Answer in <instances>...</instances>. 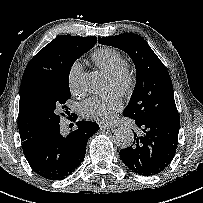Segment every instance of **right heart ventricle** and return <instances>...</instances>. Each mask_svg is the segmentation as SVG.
<instances>
[{
	"mask_svg": "<svg viewBox=\"0 0 203 203\" xmlns=\"http://www.w3.org/2000/svg\"><path fill=\"white\" fill-rule=\"evenodd\" d=\"M91 58L101 70L108 74L117 67L125 64V59L121 52L110 47L96 49L92 53Z\"/></svg>",
	"mask_w": 203,
	"mask_h": 203,
	"instance_id": "right-heart-ventricle-1",
	"label": "right heart ventricle"
}]
</instances>
